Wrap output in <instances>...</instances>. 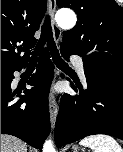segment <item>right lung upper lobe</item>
I'll return each instance as SVG.
<instances>
[{"label":"right lung upper lobe","instance_id":"1","mask_svg":"<svg viewBox=\"0 0 123 152\" xmlns=\"http://www.w3.org/2000/svg\"><path fill=\"white\" fill-rule=\"evenodd\" d=\"M47 0H1V68L23 66L37 42ZM21 51L25 54L21 57Z\"/></svg>","mask_w":123,"mask_h":152}]
</instances>
